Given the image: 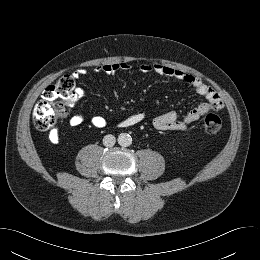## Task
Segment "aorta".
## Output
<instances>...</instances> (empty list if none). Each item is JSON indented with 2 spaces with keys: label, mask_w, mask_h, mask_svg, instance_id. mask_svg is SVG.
I'll use <instances>...</instances> for the list:
<instances>
[{
  "label": "aorta",
  "mask_w": 260,
  "mask_h": 260,
  "mask_svg": "<svg viewBox=\"0 0 260 260\" xmlns=\"http://www.w3.org/2000/svg\"><path fill=\"white\" fill-rule=\"evenodd\" d=\"M118 144L122 147H128L132 144V137L127 133H121L118 136Z\"/></svg>",
  "instance_id": "aorta-1"
}]
</instances>
